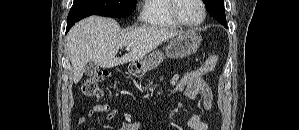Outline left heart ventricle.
<instances>
[{"label": "left heart ventricle", "mask_w": 299, "mask_h": 130, "mask_svg": "<svg viewBox=\"0 0 299 130\" xmlns=\"http://www.w3.org/2000/svg\"><path fill=\"white\" fill-rule=\"evenodd\" d=\"M178 13L185 21L194 23L201 19L202 8L198 0H179Z\"/></svg>", "instance_id": "b2bd125f"}]
</instances>
